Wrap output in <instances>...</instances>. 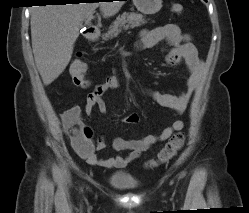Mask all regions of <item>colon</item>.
<instances>
[{"instance_id":"colon-1","label":"colon","mask_w":249,"mask_h":213,"mask_svg":"<svg viewBox=\"0 0 249 213\" xmlns=\"http://www.w3.org/2000/svg\"><path fill=\"white\" fill-rule=\"evenodd\" d=\"M172 10L177 14H182L184 8L179 3L172 4ZM87 69V65L81 56L75 57L70 64V74L72 81L75 85L81 87H87L89 82L85 76ZM75 131L72 130L71 134H74ZM77 145H81L80 136H76ZM185 141L184 134L179 132L173 135L161 152L158 155V158L155 160H151L148 162V167H155L161 163L168 162L171 158H173L177 152L183 147Z\"/></svg>"}]
</instances>
